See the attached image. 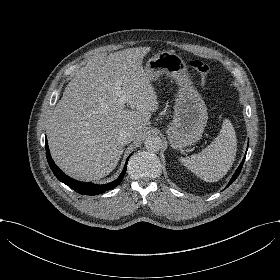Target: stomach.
<instances>
[{
  "instance_id": "stomach-1",
  "label": "stomach",
  "mask_w": 280,
  "mask_h": 280,
  "mask_svg": "<svg viewBox=\"0 0 280 280\" xmlns=\"http://www.w3.org/2000/svg\"><path fill=\"white\" fill-rule=\"evenodd\" d=\"M144 71L150 82L158 81L164 74L179 81L175 116L167 131L172 147L180 149L198 142L208 115L200 94L189 84L182 59L171 51L161 52L147 60Z\"/></svg>"
}]
</instances>
